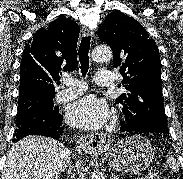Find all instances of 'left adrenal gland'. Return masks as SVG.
<instances>
[{
  "mask_svg": "<svg viewBox=\"0 0 183 179\" xmlns=\"http://www.w3.org/2000/svg\"><path fill=\"white\" fill-rule=\"evenodd\" d=\"M110 179H119L117 176H115L114 174H112Z\"/></svg>",
  "mask_w": 183,
  "mask_h": 179,
  "instance_id": "1",
  "label": "left adrenal gland"
}]
</instances>
